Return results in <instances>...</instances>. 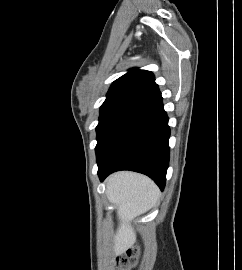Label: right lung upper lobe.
Masks as SVG:
<instances>
[{"label":"right lung upper lobe","instance_id":"right-lung-upper-lobe-1","mask_svg":"<svg viewBox=\"0 0 242 270\" xmlns=\"http://www.w3.org/2000/svg\"><path fill=\"white\" fill-rule=\"evenodd\" d=\"M159 95L152 72L134 68L113 82L102 106L128 104L138 107Z\"/></svg>","mask_w":242,"mask_h":270}]
</instances>
